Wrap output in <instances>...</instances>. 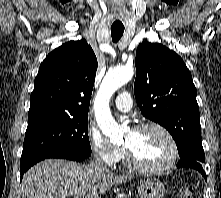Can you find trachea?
Segmentation results:
<instances>
[{"label": "trachea", "mask_w": 221, "mask_h": 198, "mask_svg": "<svg viewBox=\"0 0 221 198\" xmlns=\"http://www.w3.org/2000/svg\"><path fill=\"white\" fill-rule=\"evenodd\" d=\"M124 27H111V36L114 43H117L122 37Z\"/></svg>", "instance_id": "obj_1"}]
</instances>
